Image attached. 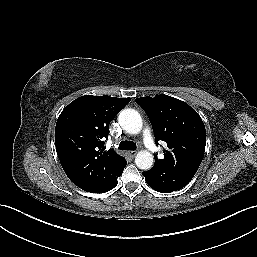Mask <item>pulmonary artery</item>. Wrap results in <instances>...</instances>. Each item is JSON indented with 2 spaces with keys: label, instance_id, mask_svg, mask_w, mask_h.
Returning a JSON list of instances; mask_svg holds the SVG:
<instances>
[{
  "label": "pulmonary artery",
  "instance_id": "pulmonary-artery-1",
  "mask_svg": "<svg viewBox=\"0 0 257 257\" xmlns=\"http://www.w3.org/2000/svg\"><path fill=\"white\" fill-rule=\"evenodd\" d=\"M142 139L145 147L151 152L156 153L157 147L154 143L152 133L149 128H144L142 131Z\"/></svg>",
  "mask_w": 257,
  "mask_h": 257
}]
</instances>
